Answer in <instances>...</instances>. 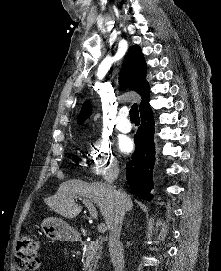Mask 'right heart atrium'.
<instances>
[{
	"label": "right heart atrium",
	"mask_w": 221,
	"mask_h": 271,
	"mask_svg": "<svg viewBox=\"0 0 221 271\" xmlns=\"http://www.w3.org/2000/svg\"><path fill=\"white\" fill-rule=\"evenodd\" d=\"M97 151H91V156H101V157H87V162H91L87 167L89 170H104L109 164L108 159H110V151H108V146H97Z\"/></svg>",
	"instance_id": "obj_1"
}]
</instances>
